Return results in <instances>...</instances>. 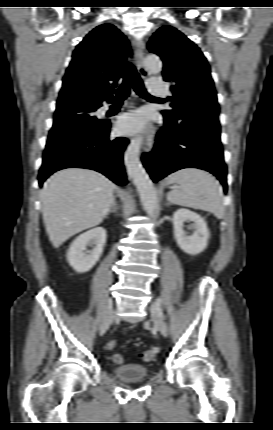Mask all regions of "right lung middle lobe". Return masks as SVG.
<instances>
[{"label":"right lung middle lobe","mask_w":273,"mask_h":430,"mask_svg":"<svg viewBox=\"0 0 273 430\" xmlns=\"http://www.w3.org/2000/svg\"><path fill=\"white\" fill-rule=\"evenodd\" d=\"M98 107L82 100H70L58 106L48 143L91 133L104 124L106 121L93 116Z\"/></svg>","instance_id":"1"}]
</instances>
